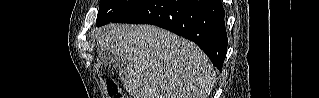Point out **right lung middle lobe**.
Masks as SVG:
<instances>
[{"label":"right lung middle lobe","mask_w":319,"mask_h":98,"mask_svg":"<svg viewBox=\"0 0 319 98\" xmlns=\"http://www.w3.org/2000/svg\"><path fill=\"white\" fill-rule=\"evenodd\" d=\"M147 0H100L96 25L102 26L133 11Z\"/></svg>","instance_id":"dd1d6c3e"}]
</instances>
